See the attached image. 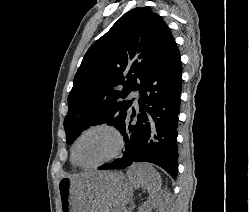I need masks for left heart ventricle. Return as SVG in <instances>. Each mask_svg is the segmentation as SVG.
Returning <instances> with one entry per match:
<instances>
[{
  "instance_id": "b2bd125f",
  "label": "left heart ventricle",
  "mask_w": 249,
  "mask_h": 212,
  "mask_svg": "<svg viewBox=\"0 0 249 212\" xmlns=\"http://www.w3.org/2000/svg\"><path fill=\"white\" fill-rule=\"evenodd\" d=\"M117 139L109 131H96L86 135L78 144L77 160L84 165L99 163L115 153Z\"/></svg>"
}]
</instances>
